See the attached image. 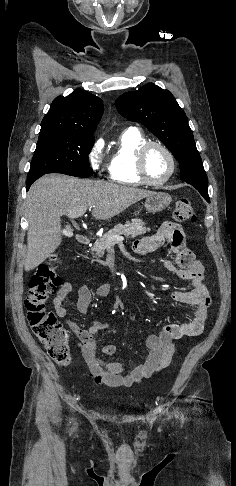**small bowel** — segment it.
<instances>
[{
	"label": "small bowel",
	"instance_id": "small-bowel-1",
	"mask_svg": "<svg viewBox=\"0 0 236 486\" xmlns=\"http://www.w3.org/2000/svg\"><path fill=\"white\" fill-rule=\"evenodd\" d=\"M167 242L171 244L176 254V265L169 260H161V265L181 279L189 281L191 285V289L188 291L173 292L172 298L176 302L194 306L195 311L189 320L177 324H167L159 333L149 335L146 339L148 349L146 358L129 373L125 372L121 363L103 360L97 354L96 335L108 331L111 328L110 323L92 319L88 329H82L67 318L64 300L72 291V285L69 282L61 285L53 299L55 313L65 320L67 326L79 339L77 347L96 384L108 387H130L140 384L143 380L170 364L175 340L184 336H198L203 332L208 317L210 297L204 284L203 265L195 259L193 253L186 247L182 227L176 222L165 221L154 234L135 241L133 248L138 254H147L161 248ZM111 289L112 285L105 283L97 287L95 292L98 296H106ZM91 300L90 286L87 284L81 286L78 290L77 310L87 316ZM115 350L114 345H107L103 348L102 353L105 356H111Z\"/></svg>",
	"mask_w": 236,
	"mask_h": 486
}]
</instances>
